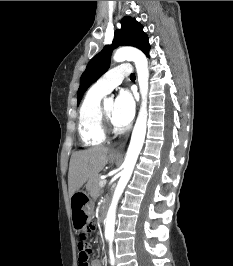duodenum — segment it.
I'll use <instances>...</instances> for the list:
<instances>
[{
    "label": "duodenum",
    "instance_id": "1",
    "mask_svg": "<svg viewBox=\"0 0 233 266\" xmlns=\"http://www.w3.org/2000/svg\"><path fill=\"white\" fill-rule=\"evenodd\" d=\"M106 213H107V207H106V205H103L102 208H101V211H100V219H101V221L105 218Z\"/></svg>",
    "mask_w": 233,
    "mask_h": 266
}]
</instances>
